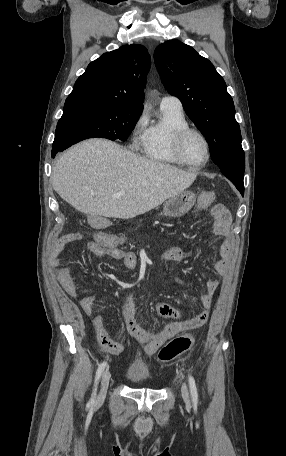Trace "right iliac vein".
Returning a JSON list of instances; mask_svg holds the SVG:
<instances>
[{
  "label": "right iliac vein",
  "mask_w": 286,
  "mask_h": 456,
  "mask_svg": "<svg viewBox=\"0 0 286 456\" xmlns=\"http://www.w3.org/2000/svg\"><path fill=\"white\" fill-rule=\"evenodd\" d=\"M110 377H111V373L108 369H106L101 378V389H100L99 395L97 397V401H96L97 404L102 402L105 398V395H106V392L108 389V385H109V381H110Z\"/></svg>",
  "instance_id": "obj_1"
}]
</instances>
